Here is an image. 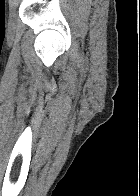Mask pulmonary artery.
Segmentation results:
<instances>
[{
  "label": "pulmonary artery",
  "mask_w": 140,
  "mask_h": 196,
  "mask_svg": "<svg viewBox=\"0 0 140 196\" xmlns=\"http://www.w3.org/2000/svg\"><path fill=\"white\" fill-rule=\"evenodd\" d=\"M29 192H47V191H29Z\"/></svg>",
  "instance_id": "1"
}]
</instances>
